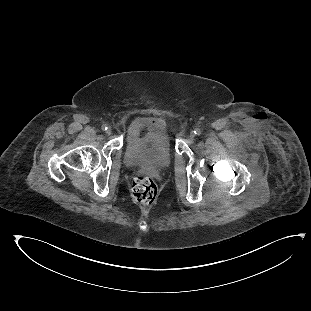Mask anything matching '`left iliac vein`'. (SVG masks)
I'll return each mask as SVG.
<instances>
[{
  "instance_id": "left-iliac-vein-1",
  "label": "left iliac vein",
  "mask_w": 311,
  "mask_h": 311,
  "mask_svg": "<svg viewBox=\"0 0 311 311\" xmlns=\"http://www.w3.org/2000/svg\"><path fill=\"white\" fill-rule=\"evenodd\" d=\"M189 138H190L191 140H193V139L195 138V133H194V131H191V132H190Z\"/></svg>"
}]
</instances>
